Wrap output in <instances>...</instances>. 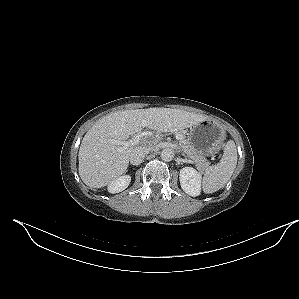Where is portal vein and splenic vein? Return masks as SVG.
Masks as SVG:
<instances>
[{"mask_svg": "<svg viewBox=\"0 0 299 299\" xmlns=\"http://www.w3.org/2000/svg\"><path fill=\"white\" fill-rule=\"evenodd\" d=\"M151 133L150 132H142L141 134H138L136 136H134L132 139L128 140V141H120V140H115V139H112L110 140V142L112 144H115V145H118L120 146L117 150L119 152L127 149L128 147L130 146H134V145H138L139 142L144 138V137H147V136H150ZM176 139L177 140H182L183 139V136L180 135V134H177L176 135Z\"/></svg>", "mask_w": 299, "mask_h": 299, "instance_id": "obj_1", "label": "portal vein and splenic vein"}]
</instances>
